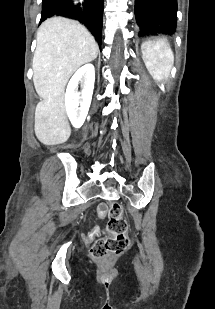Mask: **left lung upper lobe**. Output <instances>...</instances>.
I'll return each mask as SVG.
<instances>
[{"label":"left lung upper lobe","instance_id":"obj_1","mask_svg":"<svg viewBox=\"0 0 215 309\" xmlns=\"http://www.w3.org/2000/svg\"><path fill=\"white\" fill-rule=\"evenodd\" d=\"M138 36L173 34L177 28V0H135Z\"/></svg>","mask_w":215,"mask_h":309}]
</instances>
